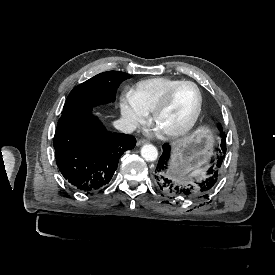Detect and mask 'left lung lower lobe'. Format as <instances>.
<instances>
[{
    "label": "left lung lower lobe",
    "mask_w": 275,
    "mask_h": 275,
    "mask_svg": "<svg viewBox=\"0 0 275 275\" xmlns=\"http://www.w3.org/2000/svg\"><path fill=\"white\" fill-rule=\"evenodd\" d=\"M226 152V148L224 153ZM170 160L169 144H164L163 153L159 158L157 167L154 172L155 183L157 187L170 198L172 197H197L200 195L207 196V193L215 186L219 180L218 168L220 167L223 156L220 157L216 166H211L206 175L201 179H186L177 181L170 177L168 172ZM207 198V197H206Z\"/></svg>",
    "instance_id": "1"
}]
</instances>
